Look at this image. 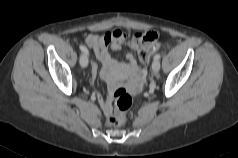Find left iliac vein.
Returning <instances> with one entry per match:
<instances>
[{"mask_svg": "<svg viewBox=\"0 0 238 158\" xmlns=\"http://www.w3.org/2000/svg\"><path fill=\"white\" fill-rule=\"evenodd\" d=\"M160 70V61L154 60L152 63V71L153 73H157Z\"/></svg>", "mask_w": 238, "mask_h": 158, "instance_id": "4c4485c4", "label": "left iliac vein"}]
</instances>
